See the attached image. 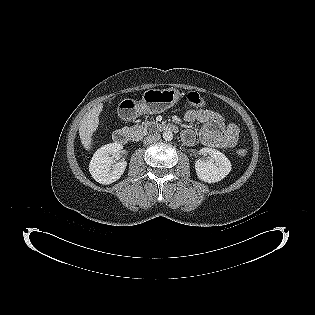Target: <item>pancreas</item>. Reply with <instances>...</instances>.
<instances>
[{
	"label": "pancreas",
	"instance_id": "pancreas-1",
	"mask_svg": "<svg viewBox=\"0 0 315 315\" xmlns=\"http://www.w3.org/2000/svg\"><path fill=\"white\" fill-rule=\"evenodd\" d=\"M152 125H157L155 122H144L141 125H136L135 127L130 128L131 136L136 139L140 138L146 133H148V127Z\"/></svg>",
	"mask_w": 315,
	"mask_h": 315
}]
</instances>
